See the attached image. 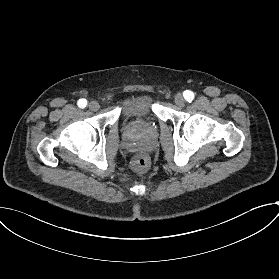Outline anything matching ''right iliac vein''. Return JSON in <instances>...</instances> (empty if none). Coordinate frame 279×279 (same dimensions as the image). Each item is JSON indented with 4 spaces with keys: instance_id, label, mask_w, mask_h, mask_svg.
<instances>
[{
    "instance_id": "right-iliac-vein-1",
    "label": "right iliac vein",
    "mask_w": 279,
    "mask_h": 279,
    "mask_svg": "<svg viewBox=\"0 0 279 279\" xmlns=\"http://www.w3.org/2000/svg\"><path fill=\"white\" fill-rule=\"evenodd\" d=\"M88 107L90 110L96 111L99 109L100 105L97 101H91V102H89Z\"/></svg>"
}]
</instances>
